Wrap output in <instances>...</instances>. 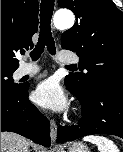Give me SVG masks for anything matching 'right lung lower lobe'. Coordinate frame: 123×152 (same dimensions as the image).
<instances>
[{
	"instance_id": "right-lung-lower-lobe-1",
	"label": "right lung lower lobe",
	"mask_w": 123,
	"mask_h": 152,
	"mask_svg": "<svg viewBox=\"0 0 123 152\" xmlns=\"http://www.w3.org/2000/svg\"><path fill=\"white\" fill-rule=\"evenodd\" d=\"M28 85L1 90V131L18 133L50 146V123L28 100Z\"/></svg>"
}]
</instances>
